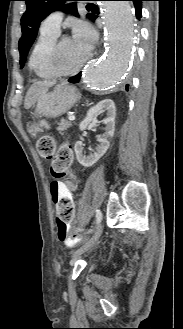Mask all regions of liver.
Listing matches in <instances>:
<instances>
[{
	"label": "liver",
	"instance_id": "obj_1",
	"mask_svg": "<svg viewBox=\"0 0 183 329\" xmlns=\"http://www.w3.org/2000/svg\"><path fill=\"white\" fill-rule=\"evenodd\" d=\"M54 85L52 81H37L28 90L24 107L29 109L34 105L42 96H44L50 87Z\"/></svg>",
	"mask_w": 183,
	"mask_h": 329
}]
</instances>
